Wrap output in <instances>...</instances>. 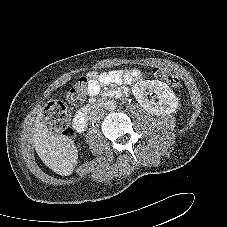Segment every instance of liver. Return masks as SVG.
Instances as JSON below:
<instances>
[{"label": "liver", "mask_w": 227, "mask_h": 227, "mask_svg": "<svg viewBox=\"0 0 227 227\" xmlns=\"http://www.w3.org/2000/svg\"><path fill=\"white\" fill-rule=\"evenodd\" d=\"M42 110L37 114L34 128V148L43 161L55 173L68 176L72 174L78 159V151L73 141L61 134H55L40 122Z\"/></svg>", "instance_id": "obj_1"}]
</instances>
